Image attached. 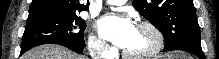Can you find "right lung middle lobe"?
<instances>
[{"instance_id":"obj_1","label":"right lung middle lobe","mask_w":219,"mask_h":59,"mask_svg":"<svg viewBox=\"0 0 219 59\" xmlns=\"http://www.w3.org/2000/svg\"><path fill=\"white\" fill-rule=\"evenodd\" d=\"M85 21L77 14L48 11L29 12L21 52L42 44H71L85 47Z\"/></svg>"}]
</instances>
